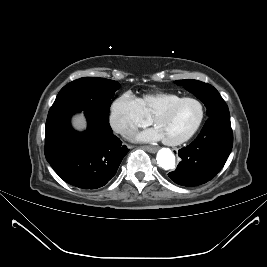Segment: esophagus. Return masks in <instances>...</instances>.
Here are the masks:
<instances>
[{
  "label": "esophagus",
  "mask_w": 267,
  "mask_h": 267,
  "mask_svg": "<svg viewBox=\"0 0 267 267\" xmlns=\"http://www.w3.org/2000/svg\"><path fill=\"white\" fill-rule=\"evenodd\" d=\"M143 149L150 152V153H156L159 148L153 147V146H143Z\"/></svg>",
  "instance_id": "esophagus-1"
}]
</instances>
